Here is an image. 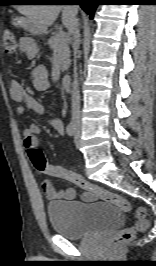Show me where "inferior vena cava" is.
<instances>
[{"instance_id":"obj_1","label":"inferior vena cava","mask_w":156,"mask_h":266,"mask_svg":"<svg viewBox=\"0 0 156 266\" xmlns=\"http://www.w3.org/2000/svg\"><path fill=\"white\" fill-rule=\"evenodd\" d=\"M73 13H74V20L71 26L70 31L73 34V48L75 58H77V50L80 44V33H79V22L76 18L78 7L77 5H71ZM72 121L75 123H80V93H79V82H78V74L76 65L74 67V81L72 83Z\"/></svg>"}]
</instances>
